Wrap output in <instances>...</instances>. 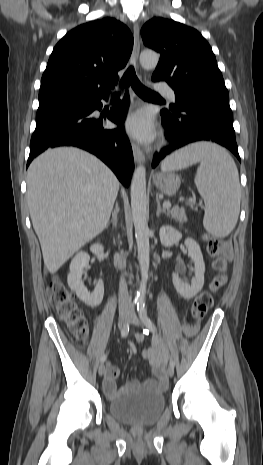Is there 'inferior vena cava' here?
Segmentation results:
<instances>
[{"mask_svg": "<svg viewBox=\"0 0 263 465\" xmlns=\"http://www.w3.org/2000/svg\"><path fill=\"white\" fill-rule=\"evenodd\" d=\"M131 301L128 294L127 284L124 277H121L119 284V309H129Z\"/></svg>", "mask_w": 263, "mask_h": 465, "instance_id": "obj_1", "label": "inferior vena cava"}]
</instances>
